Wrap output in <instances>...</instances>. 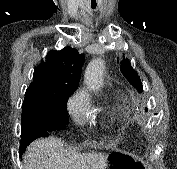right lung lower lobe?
Returning <instances> with one entry per match:
<instances>
[{
    "label": "right lung lower lobe",
    "mask_w": 177,
    "mask_h": 169,
    "mask_svg": "<svg viewBox=\"0 0 177 169\" xmlns=\"http://www.w3.org/2000/svg\"><path fill=\"white\" fill-rule=\"evenodd\" d=\"M48 136V130L32 125H22L21 141H20V153L29 145L33 140Z\"/></svg>",
    "instance_id": "1"
}]
</instances>
